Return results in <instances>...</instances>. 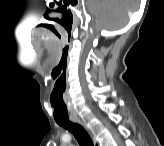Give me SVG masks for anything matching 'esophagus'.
I'll return each instance as SVG.
<instances>
[{
  "instance_id": "obj_1",
  "label": "esophagus",
  "mask_w": 164,
  "mask_h": 146,
  "mask_svg": "<svg viewBox=\"0 0 164 146\" xmlns=\"http://www.w3.org/2000/svg\"><path fill=\"white\" fill-rule=\"evenodd\" d=\"M76 122L81 123V120L79 118L74 119Z\"/></svg>"
}]
</instances>
